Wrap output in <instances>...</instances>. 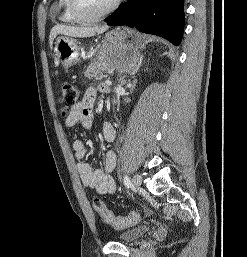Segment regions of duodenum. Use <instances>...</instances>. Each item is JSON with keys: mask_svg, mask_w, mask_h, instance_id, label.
Here are the masks:
<instances>
[{"mask_svg": "<svg viewBox=\"0 0 247 257\" xmlns=\"http://www.w3.org/2000/svg\"><path fill=\"white\" fill-rule=\"evenodd\" d=\"M103 92H105V93L109 92V87L107 85L104 86Z\"/></svg>", "mask_w": 247, "mask_h": 257, "instance_id": "410a0bca", "label": "duodenum"}]
</instances>
